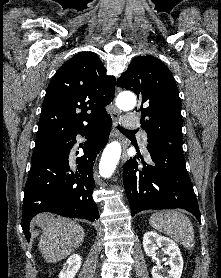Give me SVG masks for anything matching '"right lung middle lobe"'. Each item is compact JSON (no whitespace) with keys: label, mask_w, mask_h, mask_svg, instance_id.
Segmentation results:
<instances>
[{"label":"right lung middle lobe","mask_w":221,"mask_h":278,"mask_svg":"<svg viewBox=\"0 0 221 278\" xmlns=\"http://www.w3.org/2000/svg\"><path fill=\"white\" fill-rule=\"evenodd\" d=\"M53 144V143H52ZM49 146H51V144H48V145H45V146H41V147H38V148H35L34 149V152H33V155H32V159H31V162L32 161H35L37 159H39L43 153V151L45 149H47Z\"/></svg>","instance_id":"right-lung-middle-lobe-1"}]
</instances>
